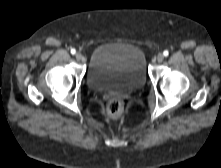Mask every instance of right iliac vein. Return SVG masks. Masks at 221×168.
Listing matches in <instances>:
<instances>
[{"label":"right iliac vein","instance_id":"obj_1","mask_svg":"<svg viewBox=\"0 0 221 168\" xmlns=\"http://www.w3.org/2000/svg\"><path fill=\"white\" fill-rule=\"evenodd\" d=\"M75 58L79 61V60H81L82 59V54L80 53V52H77L76 54H75Z\"/></svg>","mask_w":221,"mask_h":168}]
</instances>
